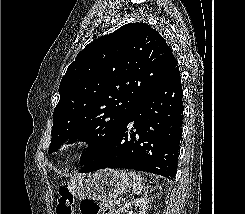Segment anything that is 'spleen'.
<instances>
[{
    "instance_id": "spleen-1",
    "label": "spleen",
    "mask_w": 245,
    "mask_h": 214,
    "mask_svg": "<svg viewBox=\"0 0 245 214\" xmlns=\"http://www.w3.org/2000/svg\"><path fill=\"white\" fill-rule=\"evenodd\" d=\"M129 175L130 177L133 178V185H132L133 193L139 194L143 189L141 174L131 171L129 172Z\"/></svg>"
}]
</instances>
